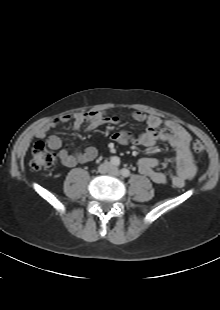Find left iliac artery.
Listing matches in <instances>:
<instances>
[{"mask_svg":"<svg viewBox=\"0 0 220 310\" xmlns=\"http://www.w3.org/2000/svg\"><path fill=\"white\" fill-rule=\"evenodd\" d=\"M121 175L123 177H128L130 175V171L126 168L121 169Z\"/></svg>","mask_w":220,"mask_h":310,"instance_id":"obj_1","label":"left iliac artery"}]
</instances>
